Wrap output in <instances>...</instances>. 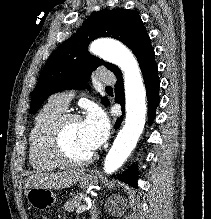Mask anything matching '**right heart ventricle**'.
<instances>
[{
  "mask_svg": "<svg viewBox=\"0 0 211 219\" xmlns=\"http://www.w3.org/2000/svg\"><path fill=\"white\" fill-rule=\"evenodd\" d=\"M64 112V107L50 100L34 118L28 137V157L31 166L39 172L51 171L63 165L49 153L45 137L51 123Z\"/></svg>",
  "mask_w": 211,
  "mask_h": 219,
  "instance_id": "right-heart-ventricle-1",
  "label": "right heart ventricle"
}]
</instances>
